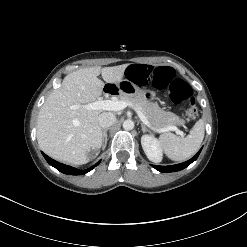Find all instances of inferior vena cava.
I'll return each instance as SVG.
<instances>
[{
	"label": "inferior vena cava",
	"instance_id": "602c4592",
	"mask_svg": "<svg viewBox=\"0 0 247 247\" xmlns=\"http://www.w3.org/2000/svg\"><path fill=\"white\" fill-rule=\"evenodd\" d=\"M116 122V116L111 112H104L99 116V125L108 128Z\"/></svg>",
	"mask_w": 247,
	"mask_h": 247
}]
</instances>
